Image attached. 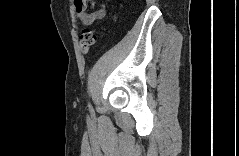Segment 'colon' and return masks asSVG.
<instances>
[{"label":"colon","mask_w":239,"mask_h":156,"mask_svg":"<svg viewBox=\"0 0 239 156\" xmlns=\"http://www.w3.org/2000/svg\"><path fill=\"white\" fill-rule=\"evenodd\" d=\"M97 36L96 30L84 29L80 36V49L83 54H87L91 46L95 43Z\"/></svg>","instance_id":"5ec220e1"}]
</instances>
